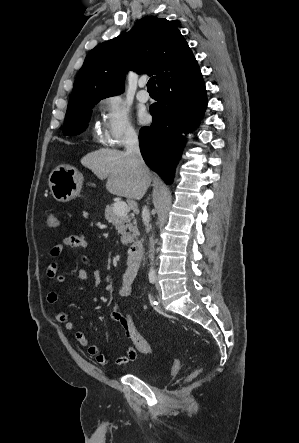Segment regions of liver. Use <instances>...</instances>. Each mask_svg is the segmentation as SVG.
<instances>
[{
  "label": "liver",
  "instance_id": "6515ba94",
  "mask_svg": "<svg viewBox=\"0 0 299 443\" xmlns=\"http://www.w3.org/2000/svg\"><path fill=\"white\" fill-rule=\"evenodd\" d=\"M81 164L98 178H107L106 189L116 196L139 200L151 183L148 168L140 171L124 151L102 148L82 157Z\"/></svg>",
  "mask_w": 299,
  "mask_h": 443
}]
</instances>
